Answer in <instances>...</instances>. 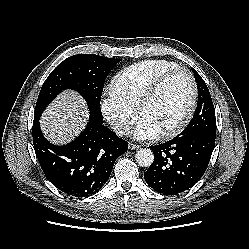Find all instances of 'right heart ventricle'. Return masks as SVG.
Listing matches in <instances>:
<instances>
[{
  "label": "right heart ventricle",
  "instance_id": "e07e8e85",
  "mask_svg": "<svg viewBox=\"0 0 249 249\" xmlns=\"http://www.w3.org/2000/svg\"><path fill=\"white\" fill-rule=\"evenodd\" d=\"M177 66L175 62L163 59L140 61L117 72L112 78L111 90L122 101L137 109L152 82L160 74Z\"/></svg>",
  "mask_w": 249,
  "mask_h": 249
}]
</instances>
